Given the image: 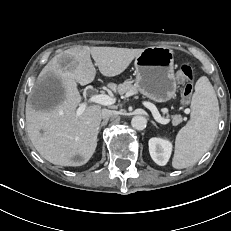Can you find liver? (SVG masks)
I'll return each instance as SVG.
<instances>
[{
    "instance_id": "obj_1",
    "label": "liver",
    "mask_w": 231,
    "mask_h": 231,
    "mask_svg": "<svg viewBox=\"0 0 231 231\" xmlns=\"http://www.w3.org/2000/svg\"><path fill=\"white\" fill-rule=\"evenodd\" d=\"M144 49L118 47L77 46L55 55L40 72L37 84L56 83L54 100L49 108L45 103H26V128L28 136L39 154L55 165L81 166L89 161L97 147L101 122V106H87L81 116L76 108L81 102L77 83L93 82L96 69L106 77L124 72Z\"/></svg>"
}]
</instances>
